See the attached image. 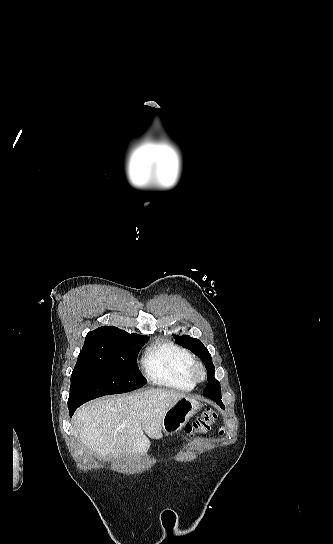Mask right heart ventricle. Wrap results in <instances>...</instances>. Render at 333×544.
<instances>
[{
    "label": "right heart ventricle",
    "mask_w": 333,
    "mask_h": 544,
    "mask_svg": "<svg viewBox=\"0 0 333 544\" xmlns=\"http://www.w3.org/2000/svg\"><path fill=\"white\" fill-rule=\"evenodd\" d=\"M194 361L191 353L177 343L155 342L143 356L146 378L153 384L179 391H190L194 384L188 377V368Z\"/></svg>",
    "instance_id": "e07e8e85"
}]
</instances>
